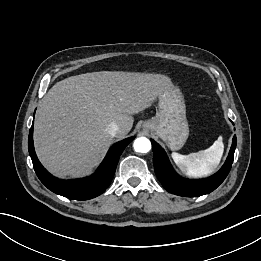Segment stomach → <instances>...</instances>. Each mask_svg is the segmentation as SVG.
Instances as JSON below:
<instances>
[{
  "instance_id": "stomach-1",
  "label": "stomach",
  "mask_w": 261,
  "mask_h": 261,
  "mask_svg": "<svg viewBox=\"0 0 261 261\" xmlns=\"http://www.w3.org/2000/svg\"><path fill=\"white\" fill-rule=\"evenodd\" d=\"M142 128L160 137L171 150L183 147L189 127L184 99L178 88L172 86L168 92L159 95L156 116L144 121Z\"/></svg>"
}]
</instances>
